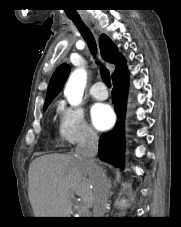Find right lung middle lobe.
I'll return each mask as SVG.
<instances>
[{
	"label": "right lung middle lobe",
	"instance_id": "1",
	"mask_svg": "<svg viewBox=\"0 0 181 227\" xmlns=\"http://www.w3.org/2000/svg\"><path fill=\"white\" fill-rule=\"evenodd\" d=\"M48 105H49V103L44 105V110L47 108Z\"/></svg>",
	"mask_w": 181,
	"mask_h": 227
}]
</instances>
